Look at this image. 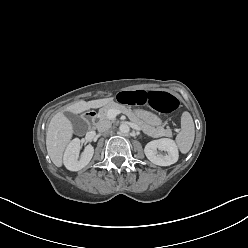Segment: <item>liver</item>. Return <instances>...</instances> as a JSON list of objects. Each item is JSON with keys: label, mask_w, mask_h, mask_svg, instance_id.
<instances>
[{"label": "liver", "mask_w": 248, "mask_h": 248, "mask_svg": "<svg viewBox=\"0 0 248 248\" xmlns=\"http://www.w3.org/2000/svg\"><path fill=\"white\" fill-rule=\"evenodd\" d=\"M113 98H103L91 101H78L65 108V111L73 114H80L89 109H96L111 103ZM74 130L71 121L64 115L63 111L58 112L51 119L46 133V147L50 159L55 166H62L63 152L73 136Z\"/></svg>", "instance_id": "obj_1"}]
</instances>
